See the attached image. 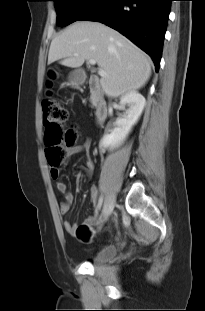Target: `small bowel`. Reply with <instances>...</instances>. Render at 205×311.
I'll return each mask as SVG.
<instances>
[{"label":"small bowel","instance_id":"c3829d8e","mask_svg":"<svg viewBox=\"0 0 205 311\" xmlns=\"http://www.w3.org/2000/svg\"><path fill=\"white\" fill-rule=\"evenodd\" d=\"M90 147H91L90 140L85 139L81 144H78L72 148H69L67 151V157L80 154V153H85L87 155V160L85 163L84 170L88 177L92 175L93 170H94V162L92 158L90 157ZM51 176L52 178L57 179L59 176L58 171L51 169ZM56 189L64 197V201L60 204V212L62 214H66L70 209V205L74 201V195L68 191L67 185L63 181L58 180L56 182ZM90 197H91V200L96 204L97 188L95 186H92L90 188ZM96 210H97V206H96ZM96 222H97V214H93L84 221V224L87 226H93L94 224H96ZM63 226L65 230L70 234H75V231L78 228L76 224L71 223L70 221H64Z\"/></svg>","mask_w":205,"mask_h":311}]
</instances>
